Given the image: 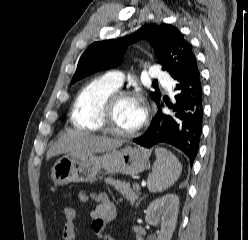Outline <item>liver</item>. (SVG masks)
<instances>
[{"label":"liver","instance_id":"6515ba94","mask_svg":"<svg viewBox=\"0 0 248 240\" xmlns=\"http://www.w3.org/2000/svg\"><path fill=\"white\" fill-rule=\"evenodd\" d=\"M122 140H115L102 136L90 135L83 132H70L59 138L47 152V159L69 153L85 155L104 153L122 146Z\"/></svg>","mask_w":248,"mask_h":240}]
</instances>
